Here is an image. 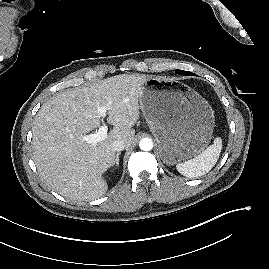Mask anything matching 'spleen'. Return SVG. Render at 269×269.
Returning <instances> with one entry per match:
<instances>
[{
	"instance_id": "obj_1",
	"label": "spleen",
	"mask_w": 269,
	"mask_h": 269,
	"mask_svg": "<svg viewBox=\"0 0 269 269\" xmlns=\"http://www.w3.org/2000/svg\"><path fill=\"white\" fill-rule=\"evenodd\" d=\"M222 149V139L217 137L213 144L208 146L194 158L178 163L176 168L182 175L194 178L208 173L219 159Z\"/></svg>"
}]
</instances>
